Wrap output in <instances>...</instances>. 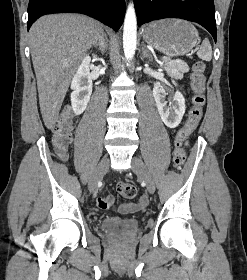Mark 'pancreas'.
<instances>
[{"label":"pancreas","instance_id":"obj_1","mask_svg":"<svg viewBox=\"0 0 247 280\" xmlns=\"http://www.w3.org/2000/svg\"><path fill=\"white\" fill-rule=\"evenodd\" d=\"M163 68L167 71V73L176 79H182L184 73L189 71L188 65L181 60H171L167 61Z\"/></svg>","mask_w":247,"mask_h":280}]
</instances>
